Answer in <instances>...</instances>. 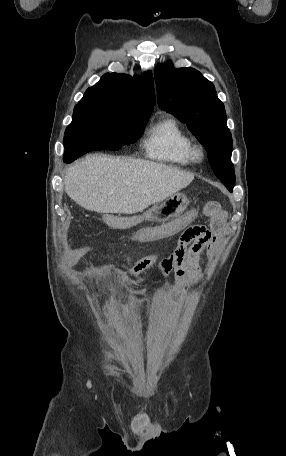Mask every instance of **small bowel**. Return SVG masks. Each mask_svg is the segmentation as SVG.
Masks as SVG:
<instances>
[{
    "label": "small bowel",
    "instance_id": "small-bowel-1",
    "mask_svg": "<svg viewBox=\"0 0 286 456\" xmlns=\"http://www.w3.org/2000/svg\"><path fill=\"white\" fill-rule=\"evenodd\" d=\"M198 209H192L183 216L160 226L144 227L134 235V239L142 242L154 241L181 233L175 250L159 262V273L156 281L157 288L161 281L172 271L175 274L180 289L186 293V279L194 284L202 281L199 268V259L203 251H207L211 257L219 244V234L223 231L226 223V215L220 209L210 212V224L191 225L198 216ZM92 251V247L83 244L75 247L69 254V263L75 264L79 259ZM131 276L139 277L145 270L159 261L158 255H148L133 262Z\"/></svg>",
    "mask_w": 286,
    "mask_h": 456
}]
</instances>
